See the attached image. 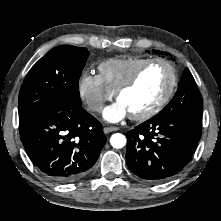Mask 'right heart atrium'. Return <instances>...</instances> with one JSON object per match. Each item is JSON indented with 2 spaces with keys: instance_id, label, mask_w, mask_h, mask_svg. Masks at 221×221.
<instances>
[{
  "instance_id": "right-heart-atrium-1",
  "label": "right heart atrium",
  "mask_w": 221,
  "mask_h": 221,
  "mask_svg": "<svg viewBox=\"0 0 221 221\" xmlns=\"http://www.w3.org/2000/svg\"><path fill=\"white\" fill-rule=\"evenodd\" d=\"M81 99L93 112H101L114 93L104 84L101 77L95 74H83L78 82Z\"/></svg>"
}]
</instances>
